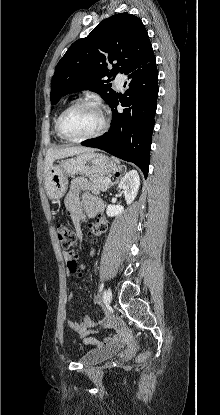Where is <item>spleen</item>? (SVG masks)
<instances>
[{"mask_svg": "<svg viewBox=\"0 0 220 415\" xmlns=\"http://www.w3.org/2000/svg\"><path fill=\"white\" fill-rule=\"evenodd\" d=\"M113 160H114L116 163L120 164L119 159H117V158H114V157H113Z\"/></svg>", "mask_w": 220, "mask_h": 415, "instance_id": "1", "label": "spleen"}]
</instances>
